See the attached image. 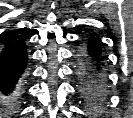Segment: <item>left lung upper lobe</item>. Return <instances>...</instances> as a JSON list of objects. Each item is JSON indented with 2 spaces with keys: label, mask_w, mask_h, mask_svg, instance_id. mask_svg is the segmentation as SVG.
I'll use <instances>...</instances> for the list:
<instances>
[{
  "label": "left lung upper lobe",
  "mask_w": 133,
  "mask_h": 118,
  "mask_svg": "<svg viewBox=\"0 0 133 118\" xmlns=\"http://www.w3.org/2000/svg\"><path fill=\"white\" fill-rule=\"evenodd\" d=\"M81 94L83 96L84 102L89 108H99L105 105L106 97L97 94L90 89L82 87Z\"/></svg>",
  "instance_id": "obj_1"
}]
</instances>
